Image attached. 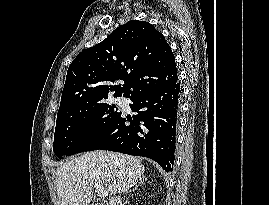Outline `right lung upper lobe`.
<instances>
[{
    "mask_svg": "<svg viewBox=\"0 0 269 205\" xmlns=\"http://www.w3.org/2000/svg\"><path fill=\"white\" fill-rule=\"evenodd\" d=\"M117 80L122 84L110 85ZM177 82L175 57L164 36L150 23L132 20L73 60L57 118L105 102L111 92L131 98Z\"/></svg>",
    "mask_w": 269,
    "mask_h": 205,
    "instance_id": "right-lung-upper-lobe-1",
    "label": "right lung upper lobe"
}]
</instances>
